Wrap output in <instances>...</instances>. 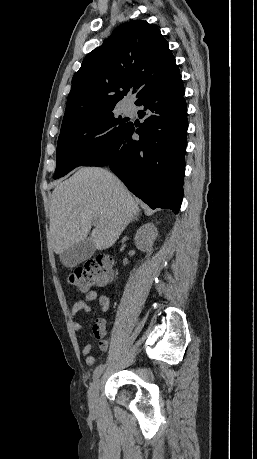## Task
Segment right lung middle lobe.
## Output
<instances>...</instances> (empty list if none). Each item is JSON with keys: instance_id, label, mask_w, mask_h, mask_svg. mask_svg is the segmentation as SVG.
<instances>
[{"instance_id": "right-lung-middle-lobe-1", "label": "right lung middle lobe", "mask_w": 257, "mask_h": 459, "mask_svg": "<svg viewBox=\"0 0 257 459\" xmlns=\"http://www.w3.org/2000/svg\"><path fill=\"white\" fill-rule=\"evenodd\" d=\"M128 124L111 109L64 129L58 139L54 179L106 152Z\"/></svg>"}]
</instances>
